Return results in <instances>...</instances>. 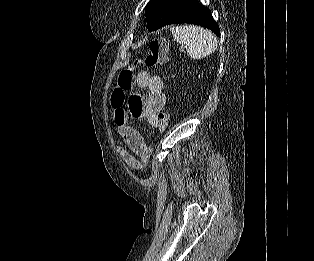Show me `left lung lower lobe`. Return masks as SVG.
Wrapping results in <instances>:
<instances>
[{
	"label": "left lung lower lobe",
	"mask_w": 314,
	"mask_h": 261,
	"mask_svg": "<svg viewBox=\"0 0 314 261\" xmlns=\"http://www.w3.org/2000/svg\"><path fill=\"white\" fill-rule=\"evenodd\" d=\"M178 23L200 25L220 36L219 26L214 21L210 10L196 0H184L176 14L166 25Z\"/></svg>",
	"instance_id": "1"
}]
</instances>
